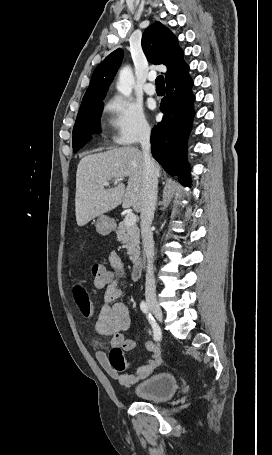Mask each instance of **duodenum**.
Listing matches in <instances>:
<instances>
[{"label": "duodenum", "mask_w": 272, "mask_h": 455, "mask_svg": "<svg viewBox=\"0 0 272 455\" xmlns=\"http://www.w3.org/2000/svg\"><path fill=\"white\" fill-rule=\"evenodd\" d=\"M142 269H143V259L138 256L135 258L134 263H133L132 273H131L132 279L138 280L141 276Z\"/></svg>", "instance_id": "410a0bca"}]
</instances>
